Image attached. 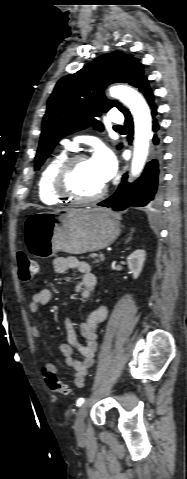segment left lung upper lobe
Here are the masks:
<instances>
[{"label": "left lung upper lobe", "instance_id": "obj_1", "mask_svg": "<svg viewBox=\"0 0 187 479\" xmlns=\"http://www.w3.org/2000/svg\"><path fill=\"white\" fill-rule=\"evenodd\" d=\"M145 78L139 60L120 51L100 56L77 73L61 78L48 100L35 170L62 137L91 125L102 131L103 126L95 117L112 107L121 112L126 109L118 101L105 98L102 91L106 86L126 82L138 88Z\"/></svg>", "mask_w": 187, "mask_h": 479}]
</instances>
